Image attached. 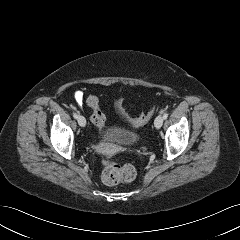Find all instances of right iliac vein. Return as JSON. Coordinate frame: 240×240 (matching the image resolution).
<instances>
[{
    "instance_id": "63e3f726",
    "label": "right iliac vein",
    "mask_w": 240,
    "mask_h": 240,
    "mask_svg": "<svg viewBox=\"0 0 240 240\" xmlns=\"http://www.w3.org/2000/svg\"><path fill=\"white\" fill-rule=\"evenodd\" d=\"M77 120H78V124H79L81 127H85V125H86V119H85L83 116H79Z\"/></svg>"
}]
</instances>
